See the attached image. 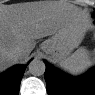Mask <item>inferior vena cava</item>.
Returning a JSON list of instances; mask_svg holds the SVG:
<instances>
[{
    "mask_svg": "<svg viewBox=\"0 0 95 95\" xmlns=\"http://www.w3.org/2000/svg\"><path fill=\"white\" fill-rule=\"evenodd\" d=\"M13 54L19 58L21 56V49L19 47H17L14 51Z\"/></svg>",
    "mask_w": 95,
    "mask_h": 95,
    "instance_id": "602c4592",
    "label": "inferior vena cava"
}]
</instances>
